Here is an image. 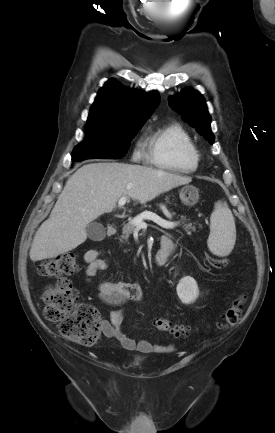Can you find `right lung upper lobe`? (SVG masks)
<instances>
[{
	"mask_svg": "<svg viewBox=\"0 0 275 433\" xmlns=\"http://www.w3.org/2000/svg\"><path fill=\"white\" fill-rule=\"evenodd\" d=\"M159 98L156 91L143 94L125 89L115 79H110L99 90L87 122L112 125L145 122L158 105Z\"/></svg>",
	"mask_w": 275,
	"mask_h": 433,
	"instance_id": "cb5924a9",
	"label": "right lung upper lobe"
}]
</instances>
